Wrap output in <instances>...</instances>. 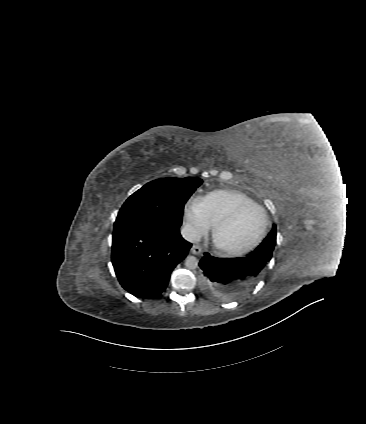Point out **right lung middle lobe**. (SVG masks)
<instances>
[{
    "label": "right lung middle lobe",
    "mask_w": 366,
    "mask_h": 424,
    "mask_svg": "<svg viewBox=\"0 0 366 424\" xmlns=\"http://www.w3.org/2000/svg\"><path fill=\"white\" fill-rule=\"evenodd\" d=\"M201 184L202 180L194 177L151 181L126 200L116 222L157 219L168 228L179 229L184 205Z\"/></svg>",
    "instance_id": "1"
}]
</instances>
